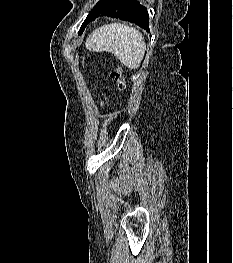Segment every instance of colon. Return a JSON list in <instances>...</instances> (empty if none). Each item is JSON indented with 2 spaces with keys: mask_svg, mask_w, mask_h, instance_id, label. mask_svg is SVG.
<instances>
[{
  "mask_svg": "<svg viewBox=\"0 0 233 263\" xmlns=\"http://www.w3.org/2000/svg\"><path fill=\"white\" fill-rule=\"evenodd\" d=\"M111 79L116 83V87L119 91H124L126 89L125 79L122 74V69L120 66L116 65L110 72Z\"/></svg>",
  "mask_w": 233,
  "mask_h": 263,
  "instance_id": "1",
  "label": "colon"
}]
</instances>
